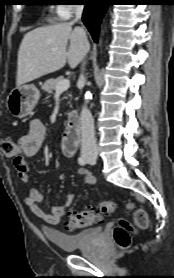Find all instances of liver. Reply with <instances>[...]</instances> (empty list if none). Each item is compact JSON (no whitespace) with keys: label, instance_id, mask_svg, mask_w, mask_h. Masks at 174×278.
Instances as JSON below:
<instances>
[{"label":"liver","instance_id":"6515ba94","mask_svg":"<svg viewBox=\"0 0 174 278\" xmlns=\"http://www.w3.org/2000/svg\"><path fill=\"white\" fill-rule=\"evenodd\" d=\"M70 45L67 50L68 41ZM83 28L71 23L39 27L26 33L18 51L16 85L58 71L68 62L75 68L89 50Z\"/></svg>","mask_w":174,"mask_h":278}]
</instances>
